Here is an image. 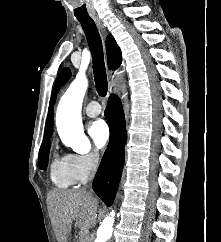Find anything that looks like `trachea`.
Segmentation results:
<instances>
[{"instance_id": "3493384b", "label": "trachea", "mask_w": 221, "mask_h": 242, "mask_svg": "<svg viewBox=\"0 0 221 242\" xmlns=\"http://www.w3.org/2000/svg\"><path fill=\"white\" fill-rule=\"evenodd\" d=\"M78 21L83 27L91 51L96 90L100 96L104 97L108 91V82L100 34L93 19L78 18Z\"/></svg>"}]
</instances>
